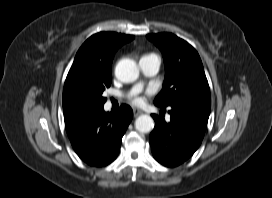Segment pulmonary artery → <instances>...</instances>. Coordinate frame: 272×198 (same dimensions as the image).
I'll use <instances>...</instances> for the list:
<instances>
[{
  "label": "pulmonary artery",
  "mask_w": 272,
  "mask_h": 198,
  "mask_svg": "<svg viewBox=\"0 0 272 198\" xmlns=\"http://www.w3.org/2000/svg\"><path fill=\"white\" fill-rule=\"evenodd\" d=\"M139 67L145 76H154L159 71L160 60L156 55L144 56L139 60ZM140 88L141 84L136 85L133 88V92H138Z\"/></svg>",
  "instance_id": "pulmonary-artery-1"
}]
</instances>
